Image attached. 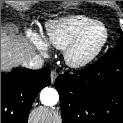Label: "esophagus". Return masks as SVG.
Wrapping results in <instances>:
<instances>
[{"instance_id":"esophagus-1","label":"esophagus","mask_w":123,"mask_h":123,"mask_svg":"<svg viewBox=\"0 0 123 123\" xmlns=\"http://www.w3.org/2000/svg\"><path fill=\"white\" fill-rule=\"evenodd\" d=\"M57 72L56 71H51L50 77H51V83L53 84L57 78Z\"/></svg>"}]
</instances>
